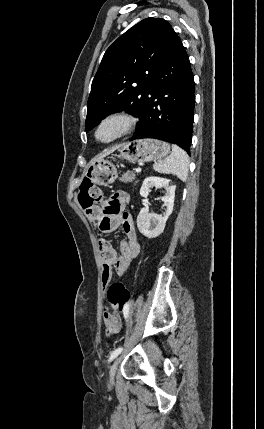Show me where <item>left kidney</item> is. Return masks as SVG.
Returning <instances> with one entry per match:
<instances>
[{"label": "left kidney", "instance_id": "left-kidney-1", "mask_svg": "<svg viewBox=\"0 0 264 429\" xmlns=\"http://www.w3.org/2000/svg\"><path fill=\"white\" fill-rule=\"evenodd\" d=\"M151 187L164 188L166 190V195L161 197V200L166 205V211L161 215L150 213L146 208H142L137 217V227L145 237L155 238L163 233L166 221L172 214L176 187L171 185L168 179L150 176L143 181L140 189L141 197L146 198Z\"/></svg>", "mask_w": 264, "mask_h": 429}]
</instances>
